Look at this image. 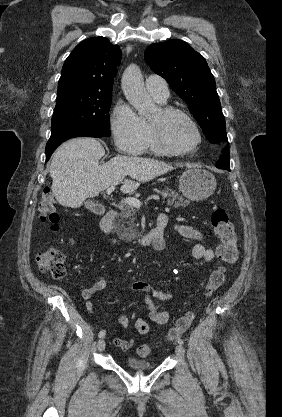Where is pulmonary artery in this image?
<instances>
[{"instance_id": "1", "label": "pulmonary artery", "mask_w": 282, "mask_h": 417, "mask_svg": "<svg viewBox=\"0 0 282 417\" xmlns=\"http://www.w3.org/2000/svg\"><path fill=\"white\" fill-rule=\"evenodd\" d=\"M145 86L149 94L158 102L165 103L169 97V89L166 81L157 75L146 78Z\"/></svg>"}]
</instances>
